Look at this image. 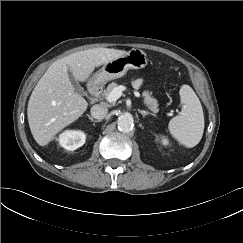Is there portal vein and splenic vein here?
Instances as JSON below:
<instances>
[{
	"label": "portal vein and splenic vein",
	"instance_id": "18ae733b",
	"mask_svg": "<svg viewBox=\"0 0 243 243\" xmlns=\"http://www.w3.org/2000/svg\"><path fill=\"white\" fill-rule=\"evenodd\" d=\"M126 89L125 86H118V87H115L110 93L109 95L106 97V100L109 102V103H113L115 101H117L121 95H122V92Z\"/></svg>",
	"mask_w": 243,
	"mask_h": 243
}]
</instances>
